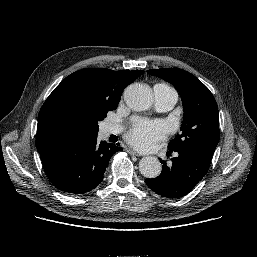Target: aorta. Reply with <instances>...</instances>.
Wrapping results in <instances>:
<instances>
[{
  "label": "aorta",
  "mask_w": 257,
  "mask_h": 257,
  "mask_svg": "<svg viewBox=\"0 0 257 257\" xmlns=\"http://www.w3.org/2000/svg\"><path fill=\"white\" fill-rule=\"evenodd\" d=\"M124 100L131 109L144 111L152 105V91L146 85L134 83L125 89ZM161 170V163L154 156L144 157L139 162V171L146 178H156L160 175Z\"/></svg>",
  "instance_id": "obj_1"
}]
</instances>
